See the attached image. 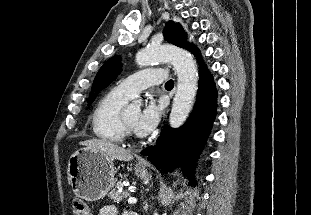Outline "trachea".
<instances>
[{
  "label": "trachea",
  "instance_id": "3493384b",
  "mask_svg": "<svg viewBox=\"0 0 311 215\" xmlns=\"http://www.w3.org/2000/svg\"><path fill=\"white\" fill-rule=\"evenodd\" d=\"M174 86V81L173 80H169L165 83V87L166 88H173Z\"/></svg>",
  "mask_w": 311,
  "mask_h": 215
}]
</instances>
